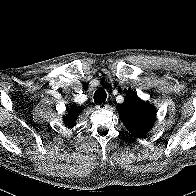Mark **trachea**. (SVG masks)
Wrapping results in <instances>:
<instances>
[{
	"label": "trachea",
	"mask_w": 196,
	"mask_h": 196,
	"mask_svg": "<svg viewBox=\"0 0 196 196\" xmlns=\"http://www.w3.org/2000/svg\"><path fill=\"white\" fill-rule=\"evenodd\" d=\"M94 102L98 104H102L106 101L107 94L103 88H98L94 93Z\"/></svg>",
	"instance_id": "1"
}]
</instances>
